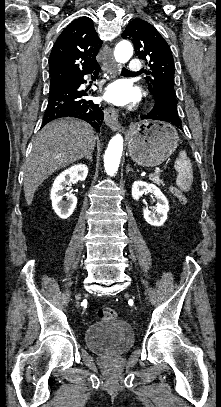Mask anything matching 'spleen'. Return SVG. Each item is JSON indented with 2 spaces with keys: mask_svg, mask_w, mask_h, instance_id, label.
I'll return each mask as SVG.
<instances>
[{
  "mask_svg": "<svg viewBox=\"0 0 221 407\" xmlns=\"http://www.w3.org/2000/svg\"><path fill=\"white\" fill-rule=\"evenodd\" d=\"M175 170L178 172L176 185L184 192L191 189L193 183V171L190 159L187 157L186 151L182 150L174 164Z\"/></svg>",
  "mask_w": 221,
  "mask_h": 407,
  "instance_id": "spleen-1",
  "label": "spleen"
}]
</instances>
